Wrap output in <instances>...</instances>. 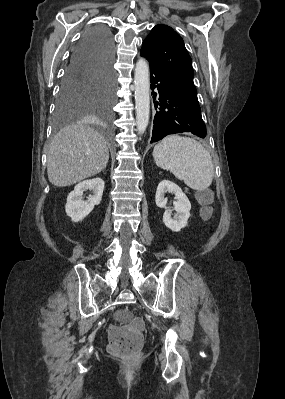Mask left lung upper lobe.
Returning <instances> with one entry per match:
<instances>
[{
    "label": "left lung upper lobe",
    "mask_w": 285,
    "mask_h": 399,
    "mask_svg": "<svg viewBox=\"0 0 285 399\" xmlns=\"http://www.w3.org/2000/svg\"><path fill=\"white\" fill-rule=\"evenodd\" d=\"M141 52L198 101L192 61L178 33L167 25H156L143 41Z\"/></svg>",
    "instance_id": "obj_1"
}]
</instances>
